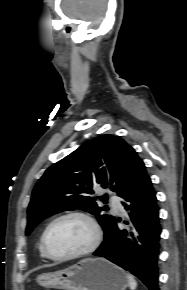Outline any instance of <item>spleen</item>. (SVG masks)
Here are the masks:
<instances>
[{
  "instance_id": "1",
  "label": "spleen",
  "mask_w": 187,
  "mask_h": 290,
  "mask_svg": "<svg viewBox=\"0 0 187 290\" xmlns=\"http://www.w3.org/2000/svg\"><path fill=\"white\" fill-rule=\"evenodd\" d=\"M128 277V282H129V287L131 290H135L136 287H137V282L136 280L134 279V277L130 274L127 275Z\"/></svg>"
}]
</instances>
